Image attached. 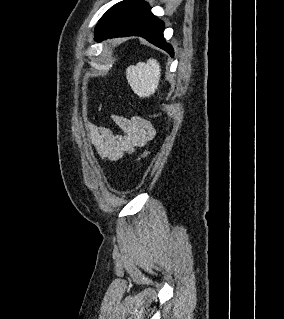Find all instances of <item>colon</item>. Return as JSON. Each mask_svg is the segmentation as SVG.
Here are the masks:
<instances>
[{
	"mask_svg": "<svg viewBox=\"0 0 284 319\" xmlns=\"http://www.w3.org/2000/svg\"><path fill=\"white\" fill-rule=\"evenodd\" d=\"M147 155H148V153L146 152V153L143 154L142 157L144 158V157H146Z\"/></svg>",
	"mask_w": 284,
	"mask_h": 319,
	"instance_id": "5ec220e1",
	"label": "colon"
}]
</instances>
